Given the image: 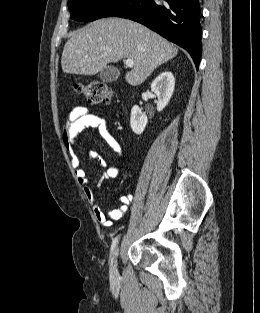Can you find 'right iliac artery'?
Wrapping results in <instances>:
<instances>
[{"instance_id":"1","label":"right iliac artery","mask_w":260,"mask_h":313,"mask_svg":"<svg viewBox=\"0 0 260 313\" xmlns=\"http://www.w3.org/2000/svg\"><path fill=\"white\" fill-rule=\"evenodd\" d=\"M117 243H118V236L115 237V238L113 239V241H112V245H111V254H110V261H112V258H111V257H112V254H113V252H114L116 246H117Z\"/></svg>"}]
</instances>
